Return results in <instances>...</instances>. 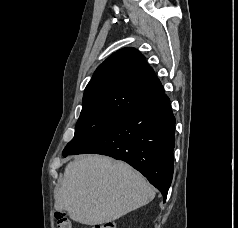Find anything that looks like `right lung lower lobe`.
Listing matches in <instances>:
<instances>
[{
	"mask_svg": "<svg viewBox=\"0 0 238 228\" xmlns=\"http://www.w3.org/2000/svg\"><path fill=\"white\" fill-rule=\"evenodd\" d=\"M174 134L170 100L162 94L125 112L67 155L96 153L123 160L141 172L165 202L174 172Z\"/></svg>",
	"mask_w": 238,
	"mask_h": 228,
	"instance_id": "1",
	"label": "right lung lower lobe"
}]
</instances>
